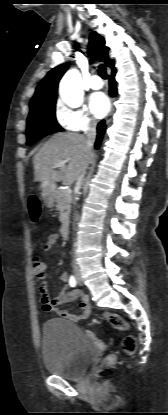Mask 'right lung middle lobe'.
Masks as SVG:
<instances>
[{"label":"right lung middle lobe","instance_id":"obj_1","mask_svg":"<svg viewBox=\"0 0 168 415\" xmlns=\"http://www.w3.org/2000/svg\"><path fill=\"white\" fill-rule=\"evenodd\" d=\"M55 103L30 111L27 119V145H32L46 135L63 131L56 121Z\"/></svg>","mask_w":168,"mask_h":415}]
</instances>
